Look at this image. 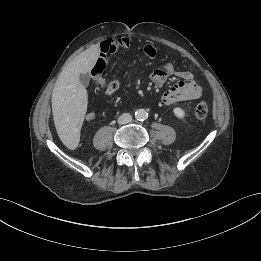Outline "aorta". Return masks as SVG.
<instances>
[{"label": "aorta", "mask_w": 261, "mask_h": 261, "mask_svg": "<svg viewBox=\"0 0 261 261\" xmlns=\"http://www.w3.org/2000/svg\"><path fill=\"white\" fill-rule=\"evenodd\" d=\"M148 117V113L146 110L144 109H138L136 112H135V118L137 120H140V121H143L145 119H147Z\"/></svg>", "instance_id": "762f6f07"}]
</instances>
